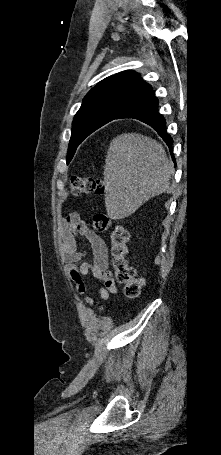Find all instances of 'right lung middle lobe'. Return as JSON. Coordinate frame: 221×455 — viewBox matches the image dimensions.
I'll return each mask as SVG.
<instances>
[{"label": "right lung middle lobe", "instance_id": "right-lung-middle-lobe-1", "mask_svg": "<svg viewBox=\"0 0 221 455\" xmlns=\"http://www.w3.org/2000/svg\"><path fill=\"white\" fill-rule=\"evenodd\" d=\"M124 110L111 104H91L82 106L72 123L67 164L71 161L79 144L92 132L120 116Z\"/></svg>", "mask_w": 221, "mask_h": 455}]
</instances>
